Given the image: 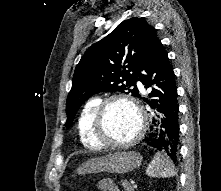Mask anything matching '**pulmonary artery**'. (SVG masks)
<instances>
[{
  "instance_id": "obj_1",
  "label": "pulmonary artery",
  "mask_w": 221,
  "mask_h": 191,
  "mask_svg": "<svg viewBox=\"0 0 221 191\" xmlns=\"http://www.w3.org/2000/svg\"><path fill=\"white\" fill-rule=\"evenodd\" d=\"M137 85L139 88H142V84L140 82H137Z\"/></svg>"
}]
</instances>
